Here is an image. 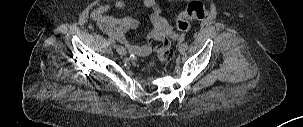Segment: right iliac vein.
Wrapping results in <instances>:
<instances>
[{"label": "right iliac vein", "instance_id": "63e3f726", "mask_svg": "<svg viewBox=\"0 0 303 127\" xmlns=\"http://www.w3.org/2000/svg\"><path fill=\"white\" fill-rule=\"evenodd\" d=\"M116 51L120 54V55H126V50L123 46H117L116 47Z\"/></svg>", "mask_w": 303, "mask_h": 127}]
</instances>
